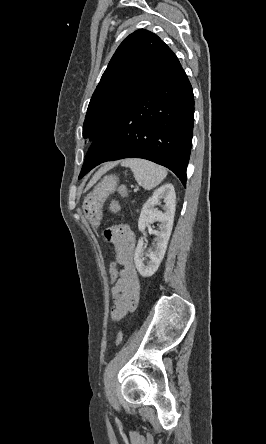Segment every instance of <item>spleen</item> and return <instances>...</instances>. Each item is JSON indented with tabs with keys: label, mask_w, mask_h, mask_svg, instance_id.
Returning <instances> with one entry per match:
<instances>
[{
	"label": "spleen",
	"mask_w": 266,
	"mask_h": 444,
	"mask_svg": "<svg viewBox=\"0 0 266 444\" xmlns=\"http://www.w3.org/2000/svg\"><path fill=\"white\" fill-rule=\"evenodd\" d=\"M121 165L132 170L135 180L145 190L153 189L167 176L164 167L140 158L125 159Z\"/></svg>",
	"instance_id": "1"
}]
</instances>
